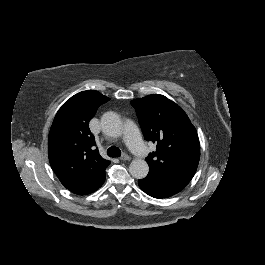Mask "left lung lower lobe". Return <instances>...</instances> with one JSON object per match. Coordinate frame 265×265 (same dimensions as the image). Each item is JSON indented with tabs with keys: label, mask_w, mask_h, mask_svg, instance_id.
<instances>
[{
	"label": "left lung lower lobe",
	"mask_w": 265,
	"mask_h": 265,
	"mask_svg": "<svg viewBox=\"0 0 265 265\" xmlns=\"http://www.w3.org/2000/svg\"><path fill=\"white\" fill-rule=\"evenodd\" d=\"M189 181L165 179L153 174L138 181L140 188L154 198H166L180 192Z\"/></svg>",
	"instance_id": "1"
}]
</instances>
